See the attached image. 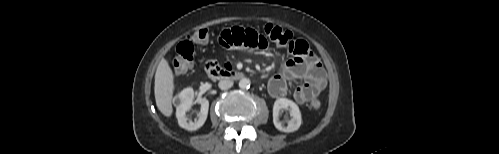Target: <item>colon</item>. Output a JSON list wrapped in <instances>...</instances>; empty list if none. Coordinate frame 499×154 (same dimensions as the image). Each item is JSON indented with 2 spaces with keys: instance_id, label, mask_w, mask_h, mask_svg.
Wrapping results in <instances>:
<instances>
[{
  "instance_id": "colon-1",
  "label": "colon",
  "mask_w": 499,
  "mask_h": 154,
  "mask_svg": "<svg viewBox=\"0 0 499 154\" xmlns=\"http://www.w3.org/2000/svg\"><path fill=\"white\" fill-rule=\"evenodd\" d=\"M264 34L269 40L280 46L286 45L292 39L290 31L273 24H267L264 27ZM207 37L208 31L203 29L188 36L178 44L172 61V66L176 73H185L193 66L195 58L194 43L203 42ZM207 67L215 70L221 69L215 62L209 63ZM310 105L314 110L321 108V102L318 99L312 100Z\"/></svg>"
}]
</instances>
